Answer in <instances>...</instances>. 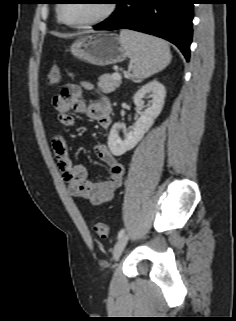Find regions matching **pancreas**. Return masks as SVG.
Wrapping results in <instances>:
<instances>
[{
	"instance_id": "cf45deb5",
	"label": "pancreas",
	"mask_w": 236,
	"mask_h": 321,
	"mask_svg": "<svg viewBox=\"0 0 236 321\" xmlns=\"http://www.w3.org/2000/svg\"><path fill=\"white\" fill-rule=\"evenodd\" d=\"M121 81L113 78V75L104 74L99 77L98 87L104 93H111L120 86Z\"/></svg>"
}]
</instances>
